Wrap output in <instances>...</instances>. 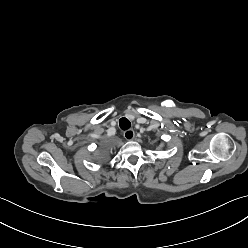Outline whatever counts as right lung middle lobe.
<instances>
[{
  "instance_id": "obj_1",
  "label": "right lung middle lobe",
  "mask_w": 248,
  "mask_h": 248,
  "mask_svg": "<svg viewBox=\"0 0 248 248\" xmlns=\"http://www.w3.org/2000/svg\"><path fill=\"white\" fill-rule=\"evenodd\" d=\"M108 158L106 148H102L96 155H93V160L96 162L105 161Z\"/></svg>"
}]
</instances>
